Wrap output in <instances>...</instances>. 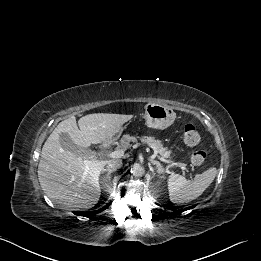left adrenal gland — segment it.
I'll use <instances>...</instances> for the list:
<instances>
[{
	"label": "left adrenal gland",
	"mask_w": 261,
	"mask_h": 261,
	"mask_svg": "<svg viewBox=\"0 0 261 261\" xmlns=\"http://www.w3.org/2000/svg\"><path fill=\"white\" fill-rule=\"evenodd\" d=\"M150 163H152L153 165H156L157 168V172L158 174H162L164 172V168L163 166L160 164V162L154 160V159H149Z\"/></svg>",
	"instance_id": "obj_1"
}]
</instances>
